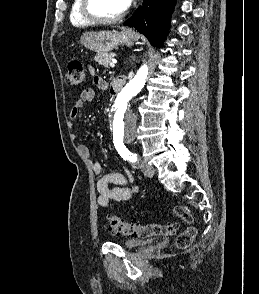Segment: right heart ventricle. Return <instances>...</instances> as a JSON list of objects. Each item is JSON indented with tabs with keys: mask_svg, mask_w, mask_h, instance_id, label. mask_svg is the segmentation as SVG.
Masks as SVG:
<instances>
[{
	"mask_svg": "<svg viewBox=\"0 0 259 294\" xmlns=\"http://www.w3.org/2000/svg\"><path fill=\"white\" fill-rule=\"evenodd\" d=\"M80 4L81 0H73L69 15L70 23L74 27H87L90 23L82 17L80 13Z\"/></svg>",
	"mask_w": 259,
	"mask_h": 294,
	"instance_id": "right-heart-ventricle-1",
	"label": "right heart ventricle"
}]
</instances>
